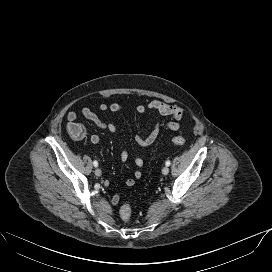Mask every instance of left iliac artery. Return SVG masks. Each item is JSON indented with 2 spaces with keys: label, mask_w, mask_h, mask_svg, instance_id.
<instances>
[{
  "label": "left iliac artery",
  "mask_w": 272,
  "mask_h": 272,
  "mask_svg": "<svg viewBox=\"0 0 272 272\" xmlns=\"http://www.w3.org/2000/svg\"><path fill=\"white\" fill-rule=\"evenodd\" d=\"M170 164H171V163H170L169 160H167L166 163H165L166 166H169Z\"/></svg>",
  "instance_id": "left-iliac-artery-1"
}]
</instances>
